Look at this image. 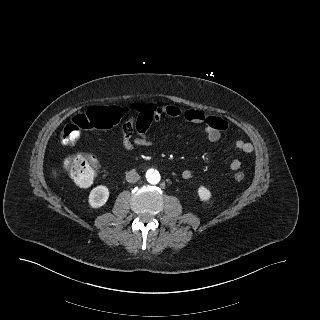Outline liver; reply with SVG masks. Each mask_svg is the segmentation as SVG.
I'll return each instance as SVG.
<instances>
[{"label":"liver","instance_id":"1","mask_svg":"<svg viewBox=\"0 0 320 320\" xmlns=\"http://www.w3.org/2000/svg\"><path fill=\"white\" fill-rule=\"evenodd\" d=\"M53 175H54L55 178L58 177L57 171L55 169H53Z\"/></svg>","mask_w":320,"mask_h":320}]
</instances>
